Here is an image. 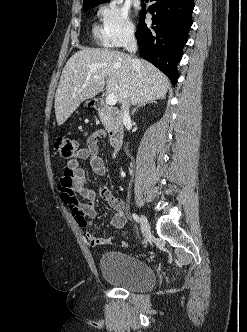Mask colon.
Masks as SVG:
<instances>
[{"mask_svg":"<svg viewBox=\"0 0 247 332\" xmlns=\"http://www.w3.org/2000/svg\"><path fill=\"white\" fill-rule=\"evenodd\" d=\"M55 149L61 158H73L79 149L77 140L61 135L56 138Z\"/></svg>","mask_w":247,"mask_h":332,"instance_id":"1","label":"colon"}]
</instances>
